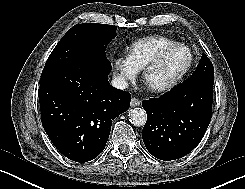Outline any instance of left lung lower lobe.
Listing matches in <instances>:
<instances>
[{"mask_svg": "<svg viewBox=\"0 0 245 189\" xmlns=\"http://www.w3.org/2000/svg\"><path fill=\"white\" fill-rule=\"evenodd\" d=\"M214 81L192 77L159 98L142 102L147 150L164 161L182 158L201 141L211 121Z\"/></svg>", "mask_w": 245, "mask_h": 189, "instance_id": "left-lung-lower-lobe-1", "label": "left lung lower lobe"}]
</instances>
